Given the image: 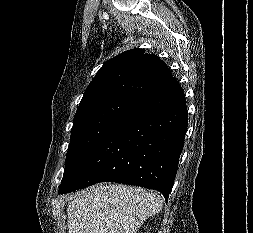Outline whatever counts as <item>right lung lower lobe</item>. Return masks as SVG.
Returning <instances> with one entry per match:
<instances>
[{
	"label": "right lung lower lobe",
	"mask_w": 253,
	"mask_h": 233,
	"mask_svg": "<svg viewBox=\"0 0 253 233\" xmlns=\"http://www.w3.org/2000/svg\"><path fill=\"white\" fill-rule=\"evenodd\" d=\"M184 92L170 77L137 99L62 180L59 194L99 182L155 189L168 200L187 131Z\"/></svg>",
	"instance_id": "right-lung-lower-lobe-1"
}]
</instances>
